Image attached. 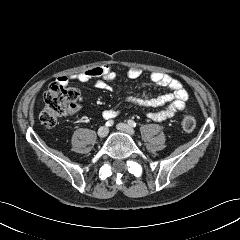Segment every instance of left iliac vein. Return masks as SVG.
<instances>
[{
  "label": "left iliac vein",
  "instance_id": "left-iliac-vein-1",
  "mask_svg": "<svg viewBox=\"0 0 240 240\" xmlns=\"http://www.w3.org/2000/svg\"><path fill=\"white\" fill-rule=\"evenodd\" d=\"M117 129H118L119 131H122V132H124V133H127V134H129V135H131V136H133V135L135 134L134 129H133L132 127L128 126L127 124H125V123H119V124H117Z\"/></svg>",
  "mask_w": 240,
  "mask_h": 240
}]
</instances>
